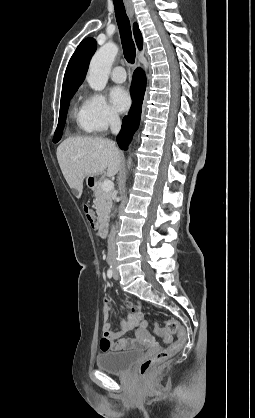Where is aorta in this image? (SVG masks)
I'll use <instances>...</instances> for the list:
<instances>
[{"label": "aorta", "mask_w": 255, "mask_h": 418, "mask_svg": "<svg viewBox=\"0 0 255 418\" xmlns=\"http://www.w3.org/2000/svg\"><path fill=\"white\" fill-rule=\"evenodd\" d=\"M118 53V47L114 43H106L92 57L87 74V82L95 91L105 88L112 63ZM131 159L128 160V167Z\"/></svg>", "instance_id": "aorta-1"}]
</instances>
